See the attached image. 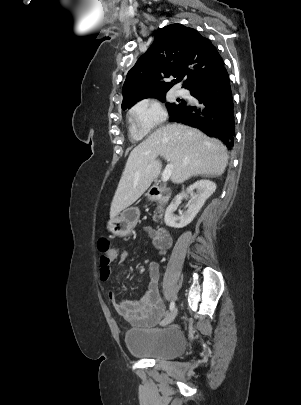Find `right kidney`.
Instances as JSON below:
<instances>
[{
	"mask_svg": "<svg viewBox=\"0 0 301 405\" xmlns=\"http://www.w3.org/2000/svg\"><path fill=\"white\" fill-rule=\"evenodd\" d=\"M193 190H196L197 194L192 196V199L187 205V210L181 213L180 216L175 215L174 212L178 208L181 200L185 197V193L176 195L167 207L164 217L167 226L183 228L191 223L205 201L215 192L216 184L210 180H198L193 185L189 186L186 192L193 193Z\"/></svg>",
	"mask_w": 301,
	"mask_h": 405,
	"instance_id": "obj_1",
	"label": "right kidney"
}]
</instances>
